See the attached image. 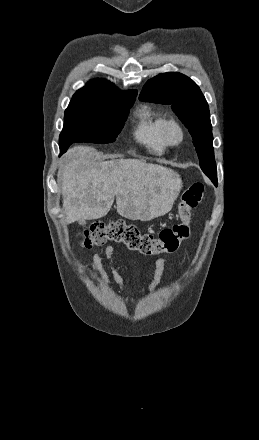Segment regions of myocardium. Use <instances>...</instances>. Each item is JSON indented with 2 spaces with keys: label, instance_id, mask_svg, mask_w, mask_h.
Listing matches in <instances>:
<instances>
[{
  "label": "myocardium",
  "instance_id": "1",
  "mask_svg": "<svg viewBox=\"0 0 259 440\" xmlns=\"http://www.w3.org/2000/svg\"><path fill=\"white\" fill-rule=\"evenodd\" d=\"M172 129H176L179 133V137L177 140H173L171 138ZM162 136L168 146H178L185 139V129L180 121L176 118H167L162 127Z\"/></svg>",
  "mask_w": 259,
  "mask_h": 440
}]
</instances>
